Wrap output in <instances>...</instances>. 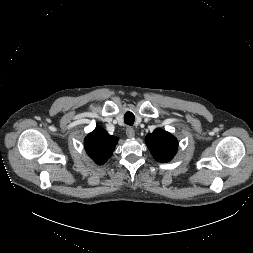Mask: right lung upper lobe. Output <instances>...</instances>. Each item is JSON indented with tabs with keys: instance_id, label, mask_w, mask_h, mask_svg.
<instances>
[{
	"instance_id": "obj_1",
	"label": "right lung upper lobe",
	"mask_w": 253,
	"mask_h": 253,
	"mask_svg": "<svg viewBox=\"0 0 253 253\" xmlns=\"http://www.w3.org/2000/svg\"><path fill=\"white\" fill-rule=\"evenodd\" d=\"M118 139L109 135L101 126L87 135L84 141L85 150L97 164H104L112 155Z\"/></svg>"
}]
</instances>
